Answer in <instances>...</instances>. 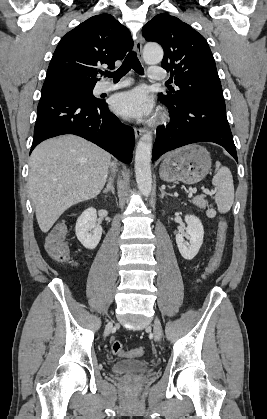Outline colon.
Returning a JSON list of instances; mask_svg holds the SVG:
<instances>
[{
	"label": "colon",
	"instance_id": "5ec220e1",
	"mask_svg": "<svg viewBox=\"0 0 267 419\" xmlns=\"http://www.w3.org/2000/svg\"><path fill=\"white\" fill-rule=\"evenodd\" d=\"M227 229V222L224 219H220L218 223L215 251L208 262L202 277L203 279L214 274L220 265L226 242ZM67 231V223L65 221H60L52 227L45 240V249L49 256L56 262L63 264L69 263L71 260L70 249L65 241ZM111 351L114 355H126L129 357H137L144 354V349L142 347H136L126 352L120 341H114L112 343Z\"/></svg>",
	"mask_w": 267,
	"mask_h": 419
}]
</instances>
